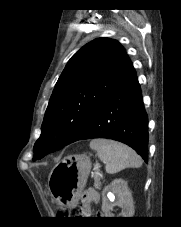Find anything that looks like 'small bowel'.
<instances>
[{"label": "small bowel", "mask_w": 181, "mask_h": 227, "mask_svg": "<svg viewBox=\"0 0 181 227\" xmlns=\"http://www.w3.org/2000/svg\"><path fill=\"white\" fill-rule=\"evenodd\" d=\"M99 200H100V193L98 191L93 190V189H89V190L85 191L81 198L82 208L79 212L80 215H82L84 217L93 216L91 204L98 203ZM100 215H101L100 212L96 213V216H100Z\"/></svg>", "instance_id": "small-bowel-1"}]
</instances>
